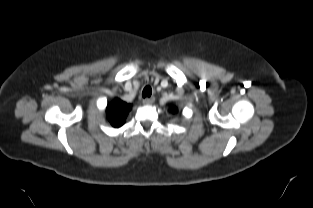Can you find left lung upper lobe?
I'll return each mask as SVG.
<instances>
[{
	"instance_id": "left-lung-upper-lobe-1",
	"label": "left lung upper lobe",
	"mask_w": 313,
	"mask_h": 208,
	"mask_svg": "<svg viewBox=\"0 0 313 208\" xmlns=\"http://www.w3.org/2000/svg\"><path fill=\"white\" fill-rule=\"evenodd\" d=\"M177 112V109L174 107L173 108V113H176Z\"/></svg>"
}]
</instances>
